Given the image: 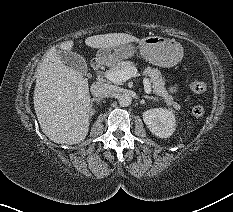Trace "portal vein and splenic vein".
<instances>
[{
	"instance_id": "portal-vein-and-splenic-vein-1",
	"label": "portal vein and splenic vein",
	"mask_w": 233,
	"mask_h": 212,
	"mask_svg": "<svg viewBox=\"0 0 233 212\" xmlns=\"http://www.w3.org/2000/svg\"><path fill=\"white\" fill-rule=\"evenodd\" d=\"M105 77L112 81L113 83L120 84L122 82H125L129 80L131 77H136L137 76V69L134 66L131 67H126L121 70H116V71H106L104 73ZM144 83V90L147 94L151 93V87L150 83L147 79L143 80Z\"/></svg>"
}]
</instances>
